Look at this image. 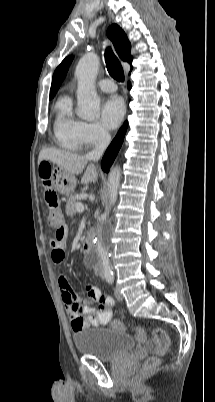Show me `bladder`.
<instances>
[{
    "mask_svg": "<svg viewBox=\"0 0 215 402\" xmlns=\"http://www.w3.org/2000/svg\"><path fill=\"white\" fill-rule=\"evenodd\" d=\"M76 350L102 362L113 361L130 352L135 341L117 329L95 327L76 331L72 336Z\"/></svg>",
    "mask_w": 215,
    "mask_h": 402,
    "instance_id": "obj_1",
    "label": "bladder"
}]
</instances>
